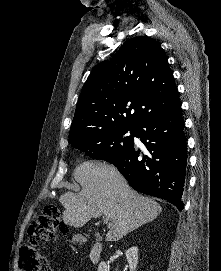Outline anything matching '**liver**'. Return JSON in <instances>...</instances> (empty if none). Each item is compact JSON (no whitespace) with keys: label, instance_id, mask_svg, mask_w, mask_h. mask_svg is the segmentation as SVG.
I'll list each match as a JSON object with an SVG mask.
<instances>
[{"label":"liver","instance_id":"obj_1","mask_svg":"<svg viewBox=\"0 0 221 271\" xmlns=\"http://www.w3.org/2000/svg\"><path fill=\"white\" fill-rule=\"evenodd\" d=\"M74 177L81 191L78 195H61L63 221L82 227L91 217L108 215L114 225L107 231L106 241H118L129 231L156 219L162 211L160 203L132 189L114 165L83 161L75 167Z\"/></svg>","mask_w":221,"mask_h":271}]
</instances>
